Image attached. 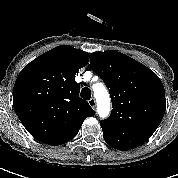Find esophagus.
<instances>
[{"label": "esophagus", "instance_id": "esophagus-1", "mask_svg": "<svg viewBox=\"0 0 178 178\" xmlns=\"http://www.w3.org/2000/svg\"><path fill=\"white\" fill-rule=\"evenodd\" d=\"M88 102L93 109L96 108V100L94 98H91Z\"/></svg>", "mask_w": 178, "mask_h": 178}]
</instances>
